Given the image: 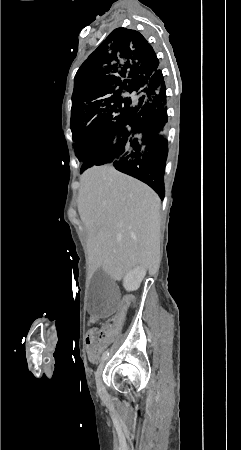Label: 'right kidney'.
<instances>
[{
	"instance_id": "1",
	"label": "right kidney",
	"mask_w": 241,
	"mask_h": 450,
	"mask_svg": "<svg viewBox=\"0 0 241 450\" xmlns=\"http://www.w3.org/2000/svg\"><path fill=\"white\" fill-rule=\"evenodd\" d=\"M145 276L146 270L145 268H141V266H138V268H134V270H130V272H127L123 280V286L125 290H127V292H135V290H138Z\"/></svg>"
}]
</instances>
